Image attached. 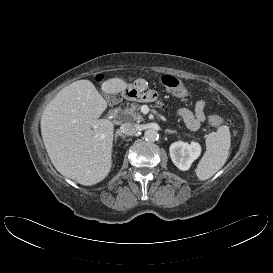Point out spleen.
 <instances>
[{
  "label": "spleen",
  "mask_w": 273,
  "mask_h": 273,
  "mask_svg": "<svg viewBox=\"0 0 273 273\" xmlns=\"http://www.w3.org/2000/svg\"><path fill=\"white\" fill-rule=\"evenodd\" d=\"M231 145L230 130L227 125L220 126L206 138V152L195 170L199 180H207L226 163Z\"/></svg>",
  "instance_id": "3e777b00"
}]
</instances>
